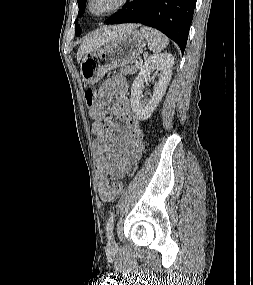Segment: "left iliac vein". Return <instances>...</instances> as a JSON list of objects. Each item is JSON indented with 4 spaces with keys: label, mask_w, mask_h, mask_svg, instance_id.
<instances>
[{
    "label": "left iliac vein",
    "mask_w": 253,
    "mask_h": 285,
    "mask_svg": "<svg viewBox=\"0 0 253 285\" xmlns=\"http://www.w3.org/2000/svg\"><path fill=\"white\" fill-rule=\"evenodd\" d=\"M115 246H116V242H115V240H114L113 235H111V236L109 237V240H108V247H109V248H114Z\"/></svg>",
    "instance_id": "1"
}]
</instances>
